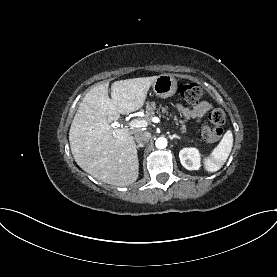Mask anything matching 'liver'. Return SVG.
I'll list each match as a JSON object with an SVG mask.
<instances>
[{
    "mask_svg": "<svg viewBox=\"0 0 277 277\" xmlns=\"http://www.w3.org/2000/svg\"><path fill=\"white\" fill-rule=\"evenodd\" d=\"M158 76L115 81L92 88L82 99L72 121L69 142L76 163L99 181L128 186L138 178L136 144L126 128L113 129L109 123L120 114L139 110Z\"/></svg>",
    "mask_w": 277,
    "mask_h": 277,
    "instance_id": "1",
    "label": "liver"
}]
</instances>
